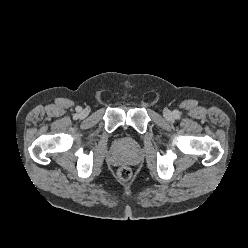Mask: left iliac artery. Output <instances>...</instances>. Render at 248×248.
I'll use <instances>...</instances> for the list:
<instances>
[{"instance_id": "obj_1", "label": "left iliac artery", "mask_w": 248, "mask_h": 248, "mask_svg": "<svg viewBox=\"0 0 248 248\" xmlns=\"http://www.w3.org/2000/svg\"><path fill=\"white\" fill-rule=\"evenodd\" d=\"M174 116H175V118H178L179 117V112L178 111H174Z\"/></svg>"}]
</instances>
